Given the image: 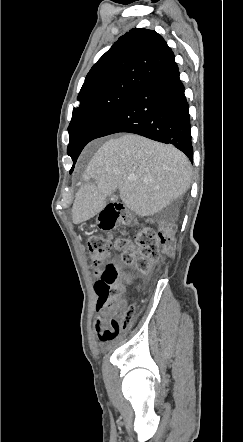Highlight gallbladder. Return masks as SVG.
I'll use <instances>...</instances> for the list:
<instances>
[{
    "mask_svg": "<svg viewBox=\"0 0 243 442\" xmlns=\"http://www.w3.org/2000/svg\"><path fill=\"white\" fill-rule=\"evenodd\" d=\"M112 199H116V200H118V202H119V200H120V195H119V193H110L109 196H108V201H110V200H112Z\"/></svg>",
    "mask_w": 243,
    "mask_h": 442,
    "instance_id": "obj_1",
    "label": "gallbladder"
}]
</instances>
